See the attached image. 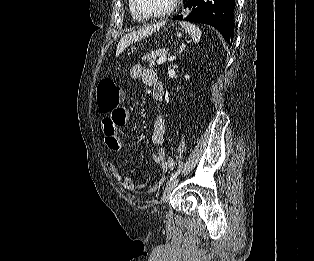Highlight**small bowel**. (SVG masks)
<instances>
[{"label":"small bowel","mask_w":314,"mask_h":261,"mask_svg":"<svg viewBox=\"0 0 314 261\" xmlns=\"http://www.w3.org/2000/svg\"><path fill=\"white\" fill-rule=\"evenodd\" d=\"M130 76L133 79H141L145 85L152 87L153 97L156 100H159L156 95L159 92L163 93V86L159 81L156 72L146 69L142 64H134L130 69ZM129 118L130 116L127 109H112V113L103 119L101 128L106 135V144L109 149L118 151L122 148V140L118 135V131H122L123 127H125L126 123L129 121ZM165 131L166 124L164 118L162 116H157L153 122L151 142L157 146L162 145L165 140ZM153 160L162 170L167 169L165 166L166 152L164 149H159L157 153L153 155ZM107 168L110 174L120 182L123 189L127 192L135 193L141 190H148L151 192L158 187L157 183L152 184V182L136 185L132 178L128 175H124L114 163H108Z\"/></svg>","instance_id":"small-bowel-1"}]
</instances>
